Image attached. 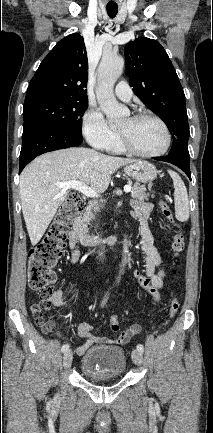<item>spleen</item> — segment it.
I'll return each instance as SVG.
<instances>
[{"label":"spleen","mask_w":213,"mask_h":433,"mask_svg":"<svg viewBox=\"0 0 213 433\" xmlns=\"http://www.w3.org/2000/svg\"><path fill=\"white\" fill-rule=\"evenodd\" d=\"M174 184L175 216L177 220L185 222L189 218V200L187 189L181 177L174 171L168 170Z\"/></svg>","instance_id":"spleen-1"}]
</instances>
